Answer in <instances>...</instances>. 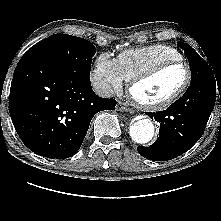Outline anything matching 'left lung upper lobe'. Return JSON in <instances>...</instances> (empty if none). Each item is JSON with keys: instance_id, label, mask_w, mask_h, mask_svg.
<instances>
[{"instance_id": "1", "label": "left lung upper lobe", "mask_w": 221, "mask_h": 221, "mask_svg": "<svg viewBox=\"0 0 221 221\" xmlns=\"http://www.w3.org/2000/svg\"><path fill=\"white\" fill-rule=\"evenodd\" d=\"M178 45L185 51L192 70L190 86L214 77L209 65L190 45L183 42H178Z\"/></svg>"}]
</instances>
